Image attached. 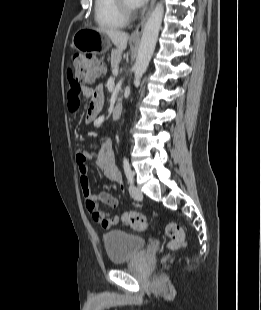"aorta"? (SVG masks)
Segmentation results:
<instances>
[{
	"label": "aorta",
	"instance_id": "762f6f07",
	"mask_svg": "<svg viewBox=\"0 0 261 310\" xmlns=\"http://www.w3.org/2000/svg\"><path fill=\"white\" fill-rule=\"evenodd\" d=\"M163 13V3L159 2L156 4L145 24L139 45L138 55L134 65V84L140 83V80L149 65L157 43Z\"/></svg>",
	"mask_w": 261,
	"mask_h": 310
}]
</instances>
